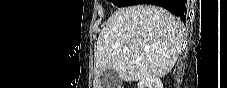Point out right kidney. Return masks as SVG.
Returning <instances> with one entry per match:
<instances>
[{"label": "right kidney", "mask_w": 227, "mask_h": 88, "mask_svg": "<svg viewBox=\"0 0 227 88\" xmlns=\"http://www.w3.org/2000/svg\"><path fill=\"white\" fill-rule=\"evenodd\" d=\"M138 88H163L162 81L158 77H149L138 82Z\"/></svg>", "instance_id": "ca27d5eb"}]
</instances>
